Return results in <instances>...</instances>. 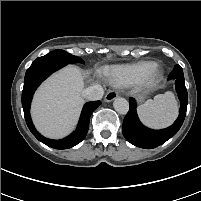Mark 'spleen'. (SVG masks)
I'll list each match as a JSON object with an SVG mask.
<instances>
[{"label": "spleen", "instance_id": "spleen-1", "mask_svg": "<svg viewBox=\"0 0 201 201\" xmlns=\"http://www.w3.org/2000/svg\"><path fill=\"white\" fill-rule=\"evenodd\" d=\"M141 121L155 129L171 125L178 115V103L170 91L158 94L154 100L149 99L137 109Z\"/></svg>", "mask_w": 201, "mask_h": 201}]
</instances>
